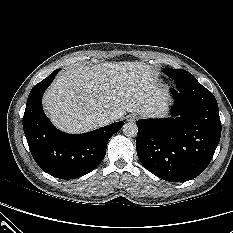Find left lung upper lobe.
Here are the masks:
<instances>
[{
	"mask_svg": "<svg viewBox=\"0 0 233 233\" xmlns=\"http://www.w3.org/2000/svg\"><path fill=\"white\" fill-rule=\"evenodd\" d=\"M163 72L175 81L176 84L196 80L189 72L182 69H164Z\"/></svg>",
	"mask_w": 233,
	"mask_h": 233,
	"instance_id": "1",
	"label": "left lung upper lobe"
}]
</instances>
